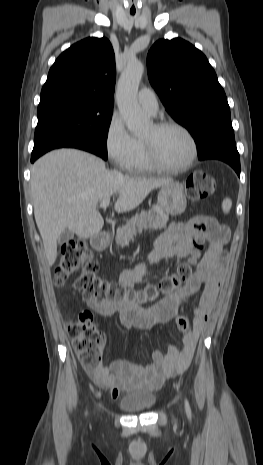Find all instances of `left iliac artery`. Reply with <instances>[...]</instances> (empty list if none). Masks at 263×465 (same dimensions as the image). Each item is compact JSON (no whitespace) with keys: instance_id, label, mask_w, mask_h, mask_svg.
<instances>
[{"instance_id":"obj_1","label":"left iliac artery","mask_w":263,"mask_h":465,"mask_svg":"<svg viewBox=\"0 0 263 465\" xmlns=\"http://www.w3.org/2000/svg\"><path fill=\"white\" fill-rule=\"evenodd\" d=\"M185 410H186L187 416L191 419V408H190V405L187 399L185 400Z\"/></svg>"}]
</instances>
